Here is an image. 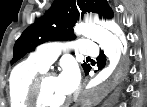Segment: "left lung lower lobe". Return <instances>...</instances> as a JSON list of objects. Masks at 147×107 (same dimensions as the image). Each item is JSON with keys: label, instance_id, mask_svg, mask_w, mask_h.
<instances>
[{"label": "left lung lower lobe", "instance_id": "obj_1", "mask_svg": "<svg viewBox=\"0 0 147 107\" xmlns=\"http://www.w3.org/2000/svg\"><path fill=\"white\" fill-rule=\"evenodd\" d=\"M98 60V66H99V69H102L105 64H106V58H105V55L103 53H100L99 57L97 58ZM91 70V67H89L86 71H85V74L87 75L89 73V71Z\"/></svg>", "mask_w": 147, "mask_h": 107}]
</instances>
